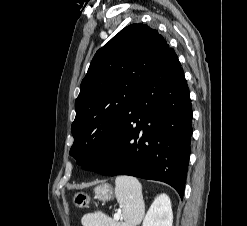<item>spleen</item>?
<instances>
[{
  "label": "spleen",
  "instance_id": "1",
  "mask_svg": "<svg viewBox=\"0 0 247 226\" xmlns=\"http://www.w3.org/2000/svg\"><path fill=\"white\" fill-rule=\"evenodd\" d=\"M115 195L122 208L123 222L115 224L107 215L98 211L82 217L83 226H136L144 213L141 183L135 177L118 176Z\"/></svg>",
  "mask_w": 247,
  "mask_h": 226
}]
</instances>
